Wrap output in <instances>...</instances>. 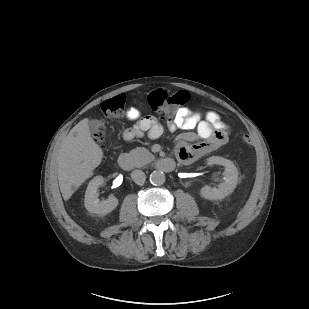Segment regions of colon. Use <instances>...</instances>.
<instances>
[{"label": "colon", "mask_w": 309, "mask_h": 309, "mask_svg": "<svg viewBox=\"0 0 309 309\" xmlns=\"http://www.w3.org/2000/svg\"><path fill=\"white\" fill-rule=\"evenodd\" d=\"M189 100V94L185 91H177L168 93L165 90H156L149 95V103L151 108L164 115L170 117L174 115L176 110L185 105ZM125 108V97L119 95L115 98L106 100L101 105V110L109 118H121ZM99 141L103 142L106 139V131L100 127L96 133ZM242 140L246 145L252 144V138L249 134L245 133Z\"/></svg>", "instance_id": "obj_1"}]
</instances>
